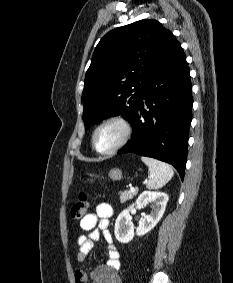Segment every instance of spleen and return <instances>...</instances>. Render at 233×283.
Here are the masks:
<instances>
[{
    "label": "spleen",
    "instance_id": "3e777b00",
    "mask_svg": "<svg viewBox=\"0 0 233 283\" xmlns=\"http://www.w3.org/2000/svg\"><path fill=\"white\" fill-rule=\"evenodd\" d=\"M141 160L149 169V180L146 183L148 189L163 187L174 175L172 167L164 162L144 156L141 157Z\"/></svg>",
    "mask_w": 233,
    "mask_h": 283
}]
</instances>
